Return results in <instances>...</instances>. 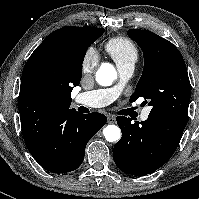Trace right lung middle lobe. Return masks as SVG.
I'll use <instances>...</instances> for the list:
<instances>
[{
	"label": "right lung middle lobe",
	"mask_w": 199,
	"mask_h": 199,
	"mask_svg": "<svg viewBox=\"0 0 199 199\" xmlns=\"http://www.w3.org/2000/svg\"><path fill=\"white\" fill-rule=\"evenodd\" d=\"M104 32L101 28H89L79 30L75 41L73 42L69 52L63 61L64 67H69L73 62H76L82 68V62L88 47L99 38Z\"/></svg>",
	"instance_id": "dd1d6c3e"
}]
</instances>
